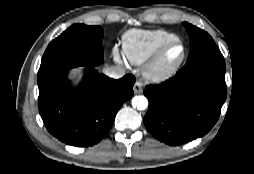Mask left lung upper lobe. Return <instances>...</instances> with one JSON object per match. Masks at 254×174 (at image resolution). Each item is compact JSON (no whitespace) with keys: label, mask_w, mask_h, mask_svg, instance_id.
<instances>
[{"label":"left lung upper lobe","mask_w":254,"mask_h":174,"mask_svg":"<svg viewBox=\"0 0 254 174\" xmlns=\"http://www.w3.org/2000/svg\"><path fill=\"white\" fill-rule=\"evenodd\" d=\"M190 38V52L184 70L208 65L225 68V61L212 37L189 23L184 22Z\"/></svg>","instance_id":"left-lung-upper-lobe-1"}]
</instances>
